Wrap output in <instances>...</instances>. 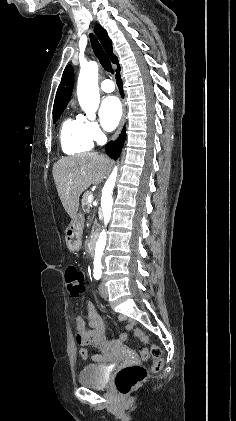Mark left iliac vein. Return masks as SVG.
Here are the masks:
<instances>
[{
  "instance_id": "obj_1",
  "label": "left iliac vein",
  "mask_w": 236,
  "mask_h": 421,
  "mask_svg": "<svg viewBox=\"0 0 236 421\" xmlns=\"http://www.w3.org/2000/svg\"><path fill=\"white\" fill-rule=\"evenodd\" d=\"M99 292H100V295L103 298H107L108 297V291H107V289L105 287V281L104 280H103V282L101 283V285L99 287Z\"/></svg>"
}]
</instances>
